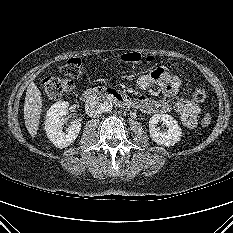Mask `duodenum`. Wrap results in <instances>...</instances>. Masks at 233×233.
<instances>
[{"label": "duodenum", "instance_id": "obj_1", "mask_svg": "<svg viewBox=\"0 0 233 233\" xmlns=\"http://www.w3.org/2000/svg\"><path fill=\"white\" fill-rule=\"evenodd\" d=\"M82 97L87 102L113 101L116 104L126 108L134 105V102L128 95L122 93L121 91L101 86L85 90Z\"/></svg>", "mask_w": 233, "mask_h": 233}]
</instances>
